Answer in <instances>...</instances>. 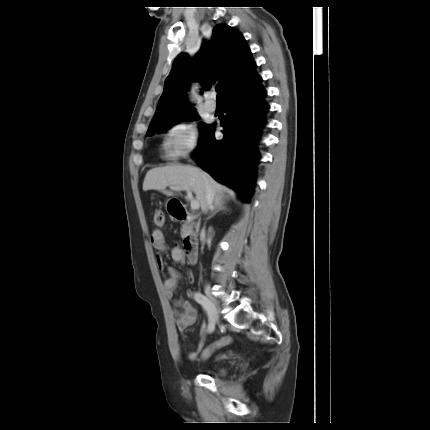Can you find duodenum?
<instances>
[{
    "instance_id": "1",
    "label": "duodenum",
    "mask_w": 430,
    "mask_h": 430,
    "mask_svg": "<svg viewBox=\"0 0 430 430\" xmlns=\"http://www.w3.org/2000/svg\"><path fill=\"white\" fill-rule=\"evenodd\" d=\"M172 215L179 221H185L190 214L185 206L181 203H176L173 206ZM184 253L190 264H194L198 257V243L192 236H187L184 239Z\"/></svg>"
}]
</instances>
